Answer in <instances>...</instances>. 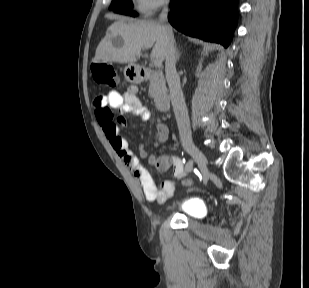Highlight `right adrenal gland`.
<instances>
[{"label": "right adrenal gland", "instance_id": "obj_1", "mask_svg": "<svg viewBox=\"0 0 309 288\" xmlns=\"http://www.w3.org/2000/svg\"><path fill=\"white\" fill-rule=\"evenodd\" d=\"M179 57H180V53H179L178 48H176V60H178V59H179Z\"/></svg>", "mask_w": 309, "mask_h": 288}]
</instances>
